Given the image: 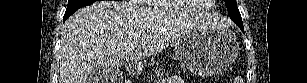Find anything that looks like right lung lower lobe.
<instances>
[{
    "label": "right lung lower lobe",
    "mask_w": 307,
    "mask_h": 83,
    "mask_svg": "<svg viewBox=\"0 0 307 83\" xmlns=\"http://www.w3.org/2000/svg\"><path fill=\"white\" fill-rule=\"evenodd\" d=\"M71 14H73V13H68V14L65 13L63 21H65Z\"/></svg>",
    "instance_id": "98d812e1"
}]
</instances>
